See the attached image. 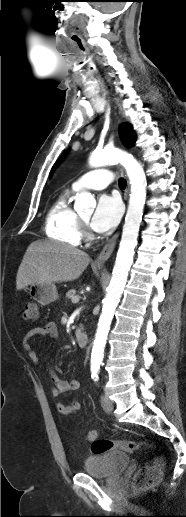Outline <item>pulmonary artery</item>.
Here are the masks:
<instances>
[{"mask_svg": "<svg viewBox=\"0 0 186 517\" xmlns=\"http://www.w3.org/2000/svg\"><path fill=\"white\" fill-rule=\"evenodd\" d=\"M112 180V173L108 169H97L81 176L73 183L72 188L75 191L83 189L101 190L111 184Z\"/></svg>", "mask_w": 186, "mask_h": 517, "instance_id": "1", "label": "pulmonary artery"}]
</instances>
